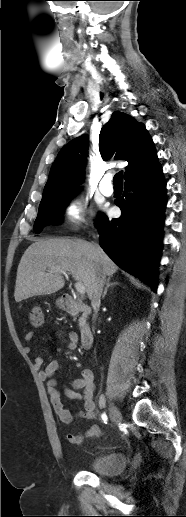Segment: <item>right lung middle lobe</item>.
Segmentation results:
<instances>
[{"label":"right lung middle lobe","instance_id":"obj_1","mask_svg":"<svg viewBox=\"0 0 186 517\" xmlns=\"http://www.w3.org/2000/svg\"><path fill=\"white\" fill-rule=\"evenodd\" d=\"M73 194L74 193H67L49 199H43L40 203L38 216L33 229L39 233L45 225L57 224L64 210L65 203Z\"/></svg>","mask_w":186,"mask_h":517}]
</instances>
